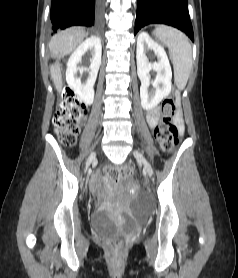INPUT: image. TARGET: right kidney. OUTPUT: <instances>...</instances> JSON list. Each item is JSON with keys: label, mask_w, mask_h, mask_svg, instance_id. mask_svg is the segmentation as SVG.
Masks as SVG:
<instances>
[{"label": "right kidney", "mask_w": 238, "mask_h": 278, "mask_svg": "<svg viewBox=\"0 0 238 278\" xmlns=\"http://www.w3.org/2000/svg\"><path fill=\"white\" fill-rule=\"evenodd\" d=\"M88 50H91L93 54L89 67V77L83 85L81 80L76 78L75 75L78 71L80 73L85 71L83 68L77 67V65ZM101 55V40L98 37H90L75 49L67 62L66 81L75 94L87 105H91L94 100V84L101 65Z\"/></svg>", "instance_id": "obj_1"}]
</instances>
